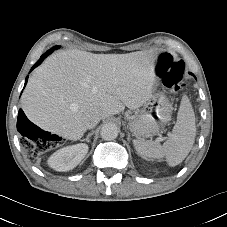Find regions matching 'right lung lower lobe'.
<instances>
[{
    "instance_id": "1",
    "label": "right lung lower lobe",
    "mask_w": 227,
    "mask_h": 227,
    "mask_svg": "<svg viewBox=\"0 0 227 227\" xmlns=\"http://www.w3.org/2000/svg\"><path fill=\"white\" fill-rule=\"evenodd\" d=\"M53 49H55L53 47ZM53 49L47 51L45 54H43L40 59L36 62V64H34V66L32 67L31 70H33L34 68H36L37 66H39L41 64V62L44 60V58L47 57L48 54H50ZM28 81V77H26V80H25V85ZM25 87V86H24ZM29 125H34L33 123H31L27 117L25 116L24 112L20 109L19 110V115H18V122H17V129L20 133H24V129L26 127H28ZM35 126V125H34Z\"/></svg>"
}]
</instances>
